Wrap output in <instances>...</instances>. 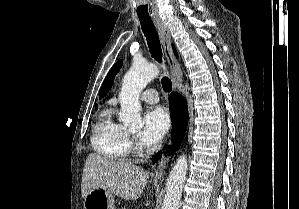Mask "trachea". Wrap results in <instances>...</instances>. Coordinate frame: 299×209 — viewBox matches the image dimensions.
Instances as JSON below:
<instances>
[{
  "label": "trachea",
  "mask_w": 299,
  "mask_h": 209,
  "mask_svg": "<svg viewBox=\"0 0 299 209\" xmlns=\"http://www.w3.org/2000/svg\"><path fill=\"white\" fill-rule=\"evenodd\" d=\"M139 21L141 24V29L146 37L147 44L149 47V51L151 56L158 61L159 63L162 62V49L159 41L158 34L156 29L153 25L152 20L150 17H140ZM162 87L166 92H170L172 90V82L168 77H163L161 79Z\"/></svg>",
  "instance_id": "trachea-1"
}]
</instances>
